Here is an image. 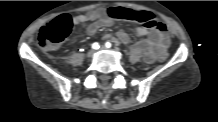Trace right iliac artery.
I'll use <instances>...</instances> for the list:
<instances>
[{"mask_svg": "<svg viewBox=\"0 0 218 122\" xmlns=\"http://www.w3.org/2000/svg\"><path fill=\"white\" fill-rule=\"evenodd\" d=\"M99 48V43L95 42L92 44V49H98Z\"/></svg>", "mask_w": 218, "mask_h": 122, "instance_id": "obj_1", "label": "right iliac artery"}]
</instances>
